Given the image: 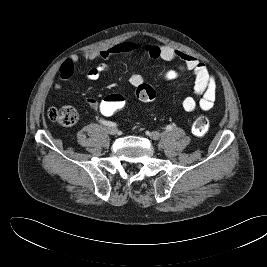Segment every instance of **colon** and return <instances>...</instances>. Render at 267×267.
Masks as SVG:
<instances>
[{
  "instance_id": "5ec220e1",
  "label": "colon",
  "mask_w": 267,
  "mask_h": 267,
  "mask_svg": "<svg viewBox=\"0 0 267 267\" xmlns=\"http://www.w3.org/2000/svg\"><path fill=\"white\" fill-rule=\"evenodd\" d=\"M136 95L142 102H152L156 97L154 89L150 85L144 83L137 87ZM128 108L129 100L126 95L121 92H115L104 96L100 100L98 106L99 112L106 117L124 112ZM48 117L51 121L63 126H72L78 120L76 110L70 106L51 107L48 110ZM209 126V119L206 116H199L192 124V132L196 136H203L208 132Z\"/></svg>"
}]
</instances>
